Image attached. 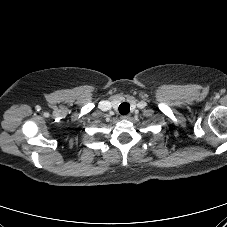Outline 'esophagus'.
Segmentation results:
<instances>
[{"label": "esophagus", "instance_id": "34e87169", "mask_svg": "<svg viewBox=\"0 0 227 227\" xmlns=\"http://www.w3.org/2000/svg\"><path fill=\"white\" fill-rule=\"evenodd\" d=\"M121 119L128 120V119H130V115H122Z\"/></svg>", "mask_w": 227, "mask_h": 227}]
</instances>
